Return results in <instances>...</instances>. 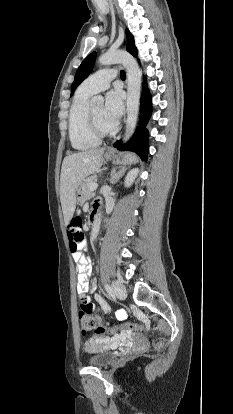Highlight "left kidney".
Segmentation results:
<instances>
[{
  "mask_svg": "<svg viewBox=\"0 0 233 414\" xmlns=\"http://www.w3.org/2000/svg\"><path fill=\"white\" fill-rule=\"evenodd\" d=\"M138 172H139L138 168H134V169H132L128 172V174L125 178V181H124L125 187H129L133 183V181L135 180Z\"/></svg>",
  "mask_w": 233,
  "mask_h": 414,
  "instance_id": "left-kidney-1",
  "label": "left kidney"
}]
</instances>
